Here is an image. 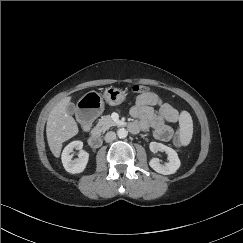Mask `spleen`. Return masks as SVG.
Listing matches in <instances>:
<instances>
[{
    "mask_svg": "<svg viewBox=\"0 0 243 243\" xmlns=\"http://www.w3.org/2000/svg\"><path fill=\"white\" fill-rule=\"evenodd\" d=\"M180 124V141L186 146L190 143L193 134V122L190 114L183 111L179 119Z\"/></svg>",
    "mask_w": 243,
    "mask_h": 243,
    "instance_id": "spleen-1",
    "label": "spleen"
}]
</instances>
